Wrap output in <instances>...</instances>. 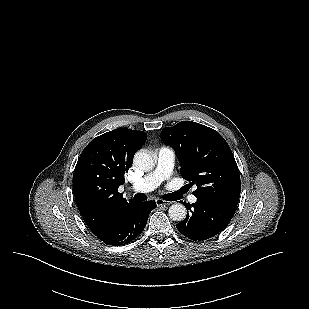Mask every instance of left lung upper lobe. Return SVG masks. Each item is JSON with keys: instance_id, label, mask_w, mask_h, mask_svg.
I'll use <instances>...</instances> for the list:
<instances>
[{"instance_id": "5c2ea615", "label": "left lung upper lobe", "mask_w": 309, "mask_h": 309, "mask_svg": "<svg viewBox=\"0 0 309 309\" xmlns=\"http://www.w3.org/2000/svg\"><path fill=\"white\" fill-rule=\"evenodd\" d=\"M161 140L172 146L181 165L180 173L196 184V197L237 205L240 197V173L232 151L215 130L193 121L165 127Z\"/></svg>"}]
</instances>
